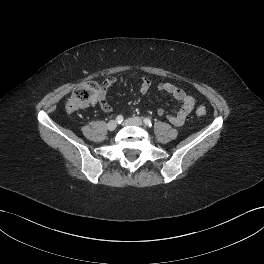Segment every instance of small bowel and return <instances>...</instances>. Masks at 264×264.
<instances>
[{"label":"small bowel","instance_id":"1","mask_svg":"<svg viewBox=\"0 0 264 264\" xmlns=\"http://www.w3.org/2000/svg\"><path fill=\"white\" fill-rule=\"evenodd\" d=\"M127 80L128 78L122 77L120 82L125 83ZM116 82L117 80L115 78L109 77L101 85L100 95L97 99V102L104 112H110L112 110V106L106 98V93L112 86H114ZM153 85V80L149 78H142L139 86L140 92L142 94H146ZM156 88L158 91H163L170 94L173 98L181 103L177 111L168 114V120L175 126L182 125L188 115L192 112L196 103L195 99L188 95L183 89L170 82H160L156 85ZM157 114L159 116H163L165 114V110L163 108H158Z\"/></svg>","mask_w":264,"mask_h":264}]
</instances>
